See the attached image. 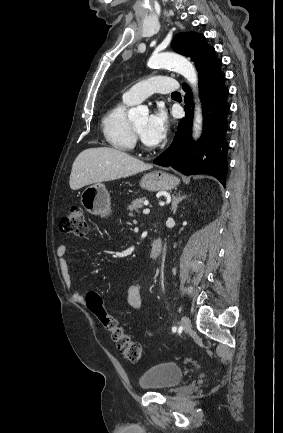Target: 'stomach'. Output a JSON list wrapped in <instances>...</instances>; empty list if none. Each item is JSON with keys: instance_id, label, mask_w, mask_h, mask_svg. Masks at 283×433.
<instances>
[{"instance_id": "0dacf381", "label": "stomach", "mask_w": 283, "mask_h": 433, "mask_svg": "<svg viewBox=\"0 0 283 433\" xmlns=\"http://www.w3.org/2000/svg\"><path fill=\"white\" fill-rule=\"evenodd\" d=\"M177 184H179L178 178L163 170L148 172L140 180V186L146 190H171ZM81 202L91 214H101V217H106V214L111 212L109 192L102 182H94L87 186L81 194Z\"/></svg>"}]
</instances>
